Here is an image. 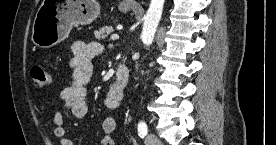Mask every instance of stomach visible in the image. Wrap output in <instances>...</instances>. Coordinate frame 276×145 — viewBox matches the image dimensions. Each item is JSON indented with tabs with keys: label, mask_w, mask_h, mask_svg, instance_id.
<instances>
[{
	"label": "stomach",
	"mask_w": 276,
	"mask_h": 145,
	"mask_svg": "<svg viewBox=\"0 0 276 145\" xmlns=\"http://www.w3.org/2000/svg\"><path fill=\"white\" fill-rule=\"evenodd\" d=\"M129 9L120 7L123 12ZM99 14L96 0H43L34 19L32 42L50 48L65 40L74 25L90 24Z\"/></svg>",
	"instance_id": "1"
}]
</instances>
